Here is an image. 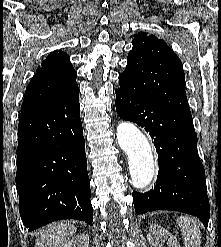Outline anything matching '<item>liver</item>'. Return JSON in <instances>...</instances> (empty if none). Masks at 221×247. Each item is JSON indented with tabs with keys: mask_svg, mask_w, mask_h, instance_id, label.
<instances>
[{
	"mask_svg": "<svg viewBox=\"0 0 221 247\" xmlns=\"http://www.w3.org/2000/svg\"><path fill=\"white\" fill-rule=\"evenodd\" d=\"M76 233V228L66 223H52L38 232L36 247H60Z\"/></svg>",
	"mask_w": 221,
	"mask_h": 247,
	"instance_id": "obj_1",
	"label": "liver"
}]
</instances>
